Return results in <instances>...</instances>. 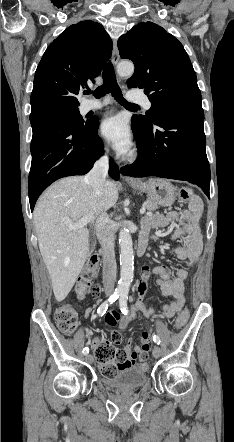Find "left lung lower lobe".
<instances>
[{"mask_svg": "<svg viewBox=\"0 0 234 442\" xmlns=\"http://www.w3.org/2000/svg\"><path fill=\"white\" fill-rule=\"evenodd\" d=\"M203 123L202 106H183L165 112L145 132L134 135L139 156L122 173L187 180L209 197L210 167Z\"/></svg>", "mask_w": 234, "mask_h": 442, "instance_id": "left-lung-lower-lobe-1", "label": "left lung lower lobe"}]
</instances>
